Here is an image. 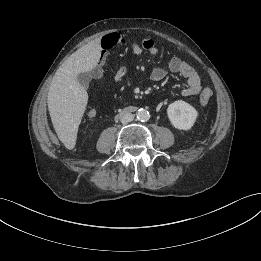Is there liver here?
I'll return each instance as SVG.
<instances>
[{"instance_id": "obj_1", "label": "liver", "mask_w": 261, "mask_h": 261, "mask_svg": "<svg viewBox=\"0 0 261 261\" xmlns=\"http://www.w3.org/2000/svg\"><path fill=\"white\" fill-rule=\"evenodd\" d=\"M100 38L73 53L54 76L47 96L48 110L55 132L65 145L73 144L87 105L88 94L77 75L91 71L101 54Z\"/></svg>"}]
</instances>
